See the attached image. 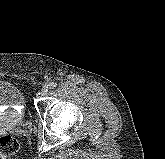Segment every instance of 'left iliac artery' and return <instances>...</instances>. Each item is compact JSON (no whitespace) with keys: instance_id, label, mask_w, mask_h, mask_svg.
<instances>
[{"instance_id":"left-iliac-artery-1","label":"left iliac artery","mask_w":165,"mask_h":159,"mask_svg":"<svg viewBox=\"0 0 165 159\" xmlns=\"http://www.w3.org/2000/svg\"><path fill=\"white\" fill-rule=\"evenodd\" d=\"M56 85H57V84H56L55 82H50V84H49L50 88H52V89L55 88Z\"/></svg>"}]
</instances>
